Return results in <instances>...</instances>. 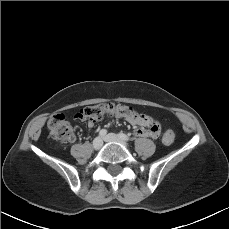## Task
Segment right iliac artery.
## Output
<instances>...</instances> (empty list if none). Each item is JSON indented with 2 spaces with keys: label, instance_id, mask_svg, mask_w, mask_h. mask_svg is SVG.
<instances>
[{
  "label": "right iliac artery",
  "instance_id": "right-iliac-artery-1",
  "mask_svg": "<svg viewBox=\"0 0 229 229\" xmlns=\"http://www.w3.org/2000/svg\"><path fill=\"white\" fill-rule=\"evenodd\" d=\"M106 134H107V130H106V129H102V130H100V132H99V135H100L101 137H104Z\"/></svg>",
  "mask_w": 229,
  "mask_h": 229
}]
</instances>
